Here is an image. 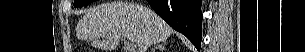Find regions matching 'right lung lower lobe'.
<instances>
[{
  "instance_id": "1",
  "label": "right lung lower lobe",
  "mask_w": 305,
  "mask_h": 52,
  "mask_svg": "<svg viewBox=\"0 0 305 52\" xmlns=\"http://www.w3.org/2000/svg\"><path fill=\"white\" fill-rule=\"evenodd\" d=\"M147 2L163 20L185 35L200 50L202 0H147Z\"/></svg>"
}]
</instances>
